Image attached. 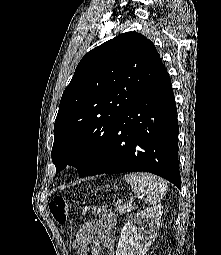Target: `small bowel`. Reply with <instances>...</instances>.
I'll return each mask as SVG.
<instances>
[{"label":"small bowel","instance_id":"c3829d8e","mask_svg":"<svg viewBox=\"0 0 221 255\" xmlns=\"http://www.w3.org/2000/svg\"><path fill=\"white\" fill-rule=\"evenodd\" d=\"M99 216L87 221L78 231L74 240L76 255H102L106 249L109 255H114V240L112 230L116 223L115 215L103 209H94Z\"/></svg>","mask_w":221,"mask_h":255}]
</instances>
